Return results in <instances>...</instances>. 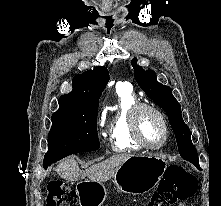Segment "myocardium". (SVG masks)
<instances>
[{"instance_id": "myocardium-1", "label": "myocardium", "mask_w": 221, "mask_h": 206, "mask_svg": "<svg viewBox=\"0 0 221 206\" xmlns=\"http://www.w3.org/2000/svg\"><path fill=\"white\" fill-rule=\"evenodd\" d=\"M143 111H150L153 114H155L159 118L162 124L164 135H163L162 141L157 145L148 144L144 140L141 134L139 120H140V115ZM130 128H131L132 136L135 142L139 146L147 150H160L161 148L165 146L169 137V127H168L166 117L157 107L148 103H136L132 107L131 114H130Z\"/></svg>"}]
</instances>
